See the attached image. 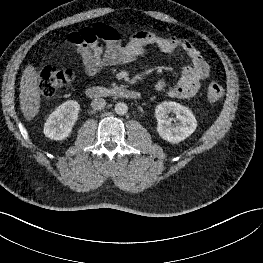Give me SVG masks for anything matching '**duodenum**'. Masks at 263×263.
I'll use <instances>...</instances> for the list:
<instances>
[{
  "mask_svg": "<svg viewBox=\"0 0 263 263\" xmlns=\"http://www.w3.org/2000/svg\"><path fill=\"white\" fill-rule=\"evenodd\" d=\"M86 95L92 99L111 97L138 100L141 98V94L138 91L127 87L106 88L103 86H90L86 89Z\"/></svg>",
  "mask_w": 263,
  "mask_h": 263,
  "instance_id": "obj_1",
  "label": "duodenum"
}]
</instances>
